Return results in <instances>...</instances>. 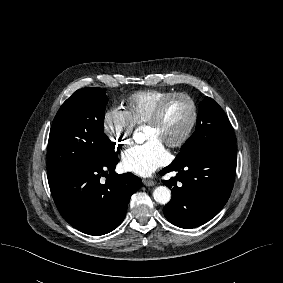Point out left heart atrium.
Here are the masks:
<instances>
[{
  "label": "left heart atrium",
  "mask_w": 283,
  "mask_h": 283,
  "mask_svg": "<svg viewBox=\"0 0 283 283\" xmlns=\"http://www.w3.org/2000/svg\"><path fill=\"white\" fill-rule=\"evenodd\" d=\"M169 159L164 144L157 139L133 146L122 154V166L126 171L149 176Z\"/></svg>",
  "instance_id": "obj_1"
}]
</instances>
